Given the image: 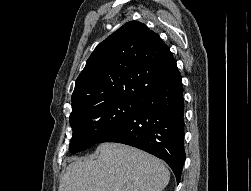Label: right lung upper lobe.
I'll list each match as a JSON object with an SVG mask.
<instances>
[{"mask_svg":"<svg viewBox=\"0 0 251 191\" xmlns=\"http://www.w3.org/2000/svg\"><path fill=\"white\" fill-rule=\"evenodd\" d=\"M180 76L159 35L130 21L101 42L78 76L72 109L115 100L138 102Z\"/></svg>","mask_w":251,"mask_h":191,"instance_id":"1","label":"right lung upper lobe"}]
</instances>
